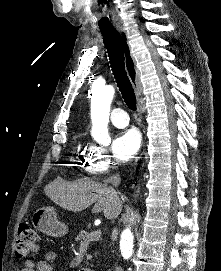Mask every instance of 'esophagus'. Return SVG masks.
Listing matches in <instances>:
<instances>
[{"mask_svg":"<svg viewBox=\"0 0 221 271\" xmlns=\"http://www.w3.org/2000/svg\"><path fill=\"white\" fill-rule=\"evenodd\" d=\"M118 32L120 33L122 39V46L124 50V62H125V69L128 75V78L133 86V89L136 93V96L139 98L142 93V83L140 81V73L136 66L135 58L132 54V49L129 43L128 35L125 32L124 28H117ZM138 112L141 115L142 107L138 103Z\"/></svg>","mask_w":221,"mask_h":271,"instance_id":"esophagus-1","label":"esophagus"}]
</instances>
